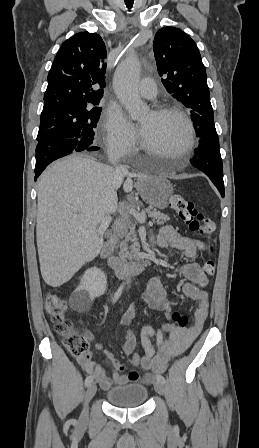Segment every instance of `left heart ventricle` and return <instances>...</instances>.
Segmentation results:
<instances>
[{
	"label": "left heart ventricle",
	"mask_w": 259,
	"mask_h": 448,
	"mask_svg": "<svg viewBox=\"0 0 259 448\" xmlns=\"http://www.w3.org/2000/svg\"><path fill=\"white\" fill-rule=\"evenodd\" d=\"M141 138L155 150V154L177 157L176 148L186 138V126L175 114L168 113L156 116L147 113L138 121Z\"/></svg>",
	"instance_id": "1"
}]
</instances>
